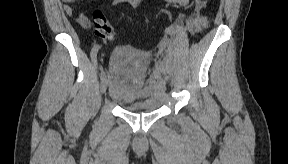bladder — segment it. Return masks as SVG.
<instances>
[{
    "label": "bladder",
    "instance_id": "obj_1",
    "mask_svg": "<svg viewBox=\"0 0 288 164\" xmlns=\"http://www.w3.org/2000/svg\"><path fill=\"white\" fill-rule=\"evenodd\" d=\"M149 55L138 49L123 48L110 58L109 96L128 112H154L159 102L146 86Z\"/></svg>",
    "mask_w": 288,
    "mask_h": 164
}]
</instances>
